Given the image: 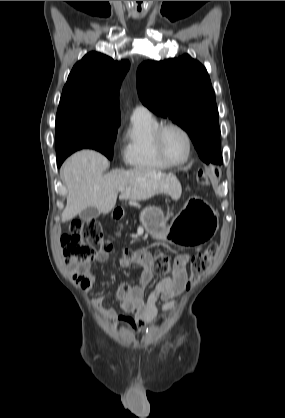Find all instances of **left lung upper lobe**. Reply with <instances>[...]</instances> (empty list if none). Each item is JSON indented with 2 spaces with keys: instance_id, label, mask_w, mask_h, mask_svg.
<instances>
[{
  "instance_id": "1",
  "label": "left lung upper lobe",
  "mask_w": 285,
  "mask_h": 418,
  "mask_svg": "<svg viewBox=\"0 0 285 418\" xmlns=\"http://www.w3.org/2000/svg\"><path fill=\"white\" fill-rule=\"evenodd\" d=\"M142 103L169 117L192 139L205 163L221 164L220 127L215 93L206 68L188 54L164 61L143 62L137 70Z\"/></svg>"
}]
</instances>
